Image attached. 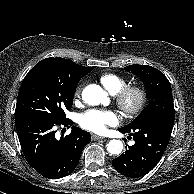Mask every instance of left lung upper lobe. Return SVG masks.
Wrapping results in <instances>:
<instances>
[{
	"label": "left lung upper lobe",
	"mask_w": 194,
	"mask_h": 194,
	"mask_svg": "<svg viewBox=\"0 0 194 194\" xmlns=\"http://www.w3.org/2000/svg\"><path fill=\"white\" fill-rule=\"evenodd\" d=\"M124 69L142 79L149 103L133 122L123 128L132 127L139 119L148 115L174 112L171 85L161 71L151 66L137 64L129 65Z\"/></svg>",
	"instance_id": "obj_1"
}]
</instances>
